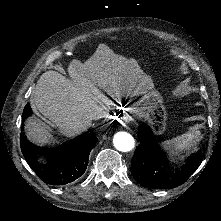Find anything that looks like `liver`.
<instances>
[{"instance_id": "obj_1", "label": "liver", "mask_w": 221, "mask_h": 221, "mask_svg": "<svg viewBox=\"0 0 221 221\" xmlns=\"http://www.w3.org/2000/svg\"><path fill=\"white\" fill-rule=\"evenodd\" d=\"M114 53L105 44H99L94 55L85 63L73 60L69 66L67 79L57 71L44 72L30 102L33 111L40 112L53 122L66 137H74L91 126V114L98 106H110L109 96L120 97L132 92H140L148 80H142V71L129 68L125 58L112 57ZM138 89L135 91V89ZM27 138L38 145L50 142L52 135L46 124L37 117H30L25 122Z\"/></svg>"}]
</instances>
